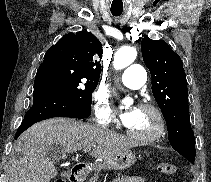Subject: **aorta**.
Masks as SVG:
<instances>
[{
  "mask_svg": "<svg viewBox=\"0 0 211 182\" xmlns=\"http://www.w3.org/2000/svg\"><path fill=\"white\" fill-rule=\"evenodd\" d=\"M137 51L133 47H121L114 56L113 66L116 70L123 69L134 62Z\"/></svg>",
  "mask_w": 211,
  "mask_h": 182,
  "instance_id": "obj_1",
  "label": "aorta"
}]
</instances>
